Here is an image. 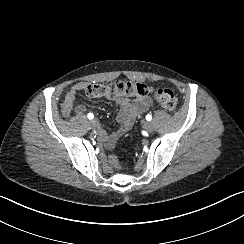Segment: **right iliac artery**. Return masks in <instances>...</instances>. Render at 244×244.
<instances>
[{
  "mask_svg": "<svg viewBox=\"0 0 244 244\" xmlns=\"http://www.w3.org/2000/svg\"><path fill=\"white\" fill-rule=\"evenodd\" d=\"M87 117H88V119H93L94 118V115L92 114V113H89L88 115H87Z\"/></svg>",
  "mask_w": 244,
  "mask_h": 244,
  "instance_id": "82829eb1",
  "label": "right iliac artery"
}]
</instances>
